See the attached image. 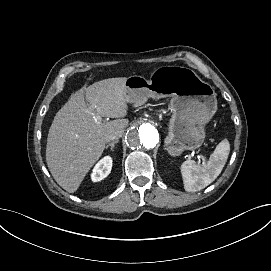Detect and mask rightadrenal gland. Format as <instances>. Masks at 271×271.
Segmentation results:
<instances>
[{"mask_svg": "<svg viewBox=\"0 0 271 271\" xmlns=\"http://www.w3.org/2000/svg\"><path fill=\"white\" fill-rule=\"evenodd\" d=\"M116 143H118V141L114 140L113 142L107 144L105 148L108 149V147H111V150L113 151Z\"/></svg>", "mask_w": 271, "mask_h": 271, "instance_id": "right-adrenal-gland-1", "label": "right adrenal gland"}]
</instances>
